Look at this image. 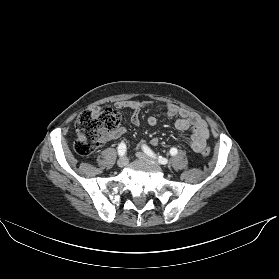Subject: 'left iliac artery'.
I'll return each mask as SVG.
<instances>
[{"mask_svg": "<svg viewBox=\"0 0 279 279\" xmlns=\"http://www.w3.org/2000/svg\"><path fill=\"white\" fill-rule=\"evenodd\" d=\"M143 151L148 154L149 156L151 157H154L155 158V154L152 152V150H150V148H148L147 146H143ZM170 154L172 156L176 155L177 154V149L176 148H171L170 149ZM158 161L161 163V164H167L168 160L163 158L162 156H159L158 157Z\"/></svg>", "mask_w": 279, "mask_h": 279, "instance_id": "1", "label": "left iliac artery"}]
</instances>
